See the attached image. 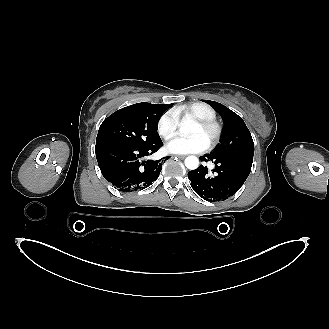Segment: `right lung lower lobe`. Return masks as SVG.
Returning <instances> with one entry per match:
<instances>
[{"label": "right lung lower lobe", "mask_w": 329, "mask_h": 329, "mask_svg": "<svg viewBox=\"0 0 329 329\" xmlns=\"http://www.w3.org/2000/svg\"><path fill=\"white\" fill-rule=\"evenodd\" d=\"M161 146L162 141L150 146L100 142L95 151L104 178L119 191L134 192L147 188L158 178L162 159L146 161L144 158Z\"/></svg>", "instance_id": "obj_1"}]
</instances>
